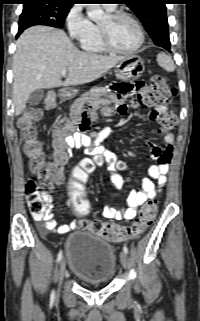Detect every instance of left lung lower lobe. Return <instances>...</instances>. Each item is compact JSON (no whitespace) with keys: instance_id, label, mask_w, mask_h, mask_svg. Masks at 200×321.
<instances>
[{"instance_id":"1","label":"left lung lower lobe","mask_w":200,"mask_h":321,"mask_svg":"<svg viewBox=\"0 0 200 321\" xmlns=\"http://www.w3.org/2000/svg\"><path fill=\"white\" fill-rule=\"evenodd\" d=\"M165 49L170 51V45L166 46Z\"/></svg>"}]
</instances>
